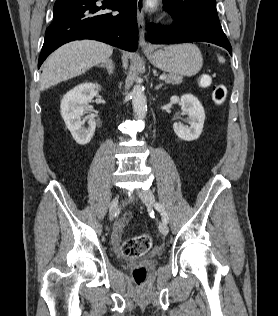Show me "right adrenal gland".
I'll return each instance as SVG.
<instances>
[{
    "instance_id": "2a0ac1e0",
    "label": "right adrenal gland",
    "mask_w": 278,
    "mask_h": 316,
    "mask_svg": "<svg viewBox=\"0 0 278 316\" xmlns=\"http://www.w3.org/2000/svg\"><path fill=\"white\" fill-rule=\"evenodd\" d=\"M98 67L105 68L109 75L113 74L114 64H113V61L111 59H107L106 61H104L103 63L98 65Z\"/></svg>"
}]
</instances>
